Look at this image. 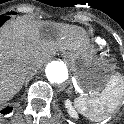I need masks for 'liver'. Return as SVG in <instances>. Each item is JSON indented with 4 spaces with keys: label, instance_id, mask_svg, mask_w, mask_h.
Listing matches in <instances>:
<instances>
[{
    "label": "liver",
    "instance_id": "obj_1",
    "mask_svg": "<svg viewBox=\"0 0 124 124\" xmlns=\"http://www.w3.org/2000/svg\"><path fill=\"white\" fill-rule=\"evenodd\" d=\"M45 23L25 19L12 21L0 32V104L10 100L20 90L30 62L37 68L50 58L57 49L70 50L75 56L82 55L87 64L91 57L86 53L88 43L85 31L78 26L63 25L40 37Z\"/></svg>",
    "mask_w": 124,
    "mask_h": 124
}]
</instances>
